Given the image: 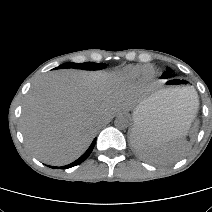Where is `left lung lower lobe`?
Listing matches in <instances>:
<instances>
[{"mask_svg":"<svg viewBox=\"0 0 212 212\" xmlns=\"http://www.w3.org/2000/svg\"><path fill=\"white\" fill-rule=\"evenodd\" d=\"M175 80H172L170 82H173ZM139 132H135L133 135H132V144L134 146V148L138 151V153L146 160H148V158L150 157V153L152 151V148H150V146H145V147H142L141 146V139H139Z\"/></svg>","mask_w":212,"mask_h":212,"instance_id":"left-lung-lower-lobe-1","label":"left lung lower lobe"}]
</instances>
